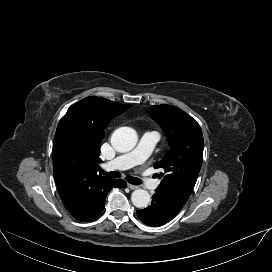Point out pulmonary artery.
Wrapping results in <instances>:
<instances>
[{"instance_id":"obj_1","label":"pulmonary artery","mask_w":272,"mask_h":272,"mask_svg":"<svg viewBox=\"0 0 272 272\" xmlns=\"http://www.w3.org/2000/svg\"><path fill=\"white\" fill-rule=\"evenodd\" d=\"M160 136L155 131L146 132L140 139L137 147L129 153L123 154L105 164L106 169H128L146 162L158 142ZM142 184L148 190H154L158 181L147 175L142 177Z\"/></svg>"}]
</instances>
